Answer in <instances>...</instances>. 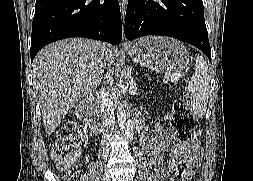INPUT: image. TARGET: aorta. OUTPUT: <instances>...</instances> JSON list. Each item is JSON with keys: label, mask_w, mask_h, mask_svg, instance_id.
<instances>
[{"label": "aorta", "mask_w": 253, "mask_h": 181, "mask_svg": "<svg viewBox=\"0 0 253 181\" xmlns=\"http://www.w3.org/2000/svg\"><path fill=\"white\" fill-rule=\"evenodd\" d=\"M118 113L116 115V118L118 119L117 128H121L122 130L126 128V112L125 107L119 106L118 107Z\"/></svg>", "instance_id": "1"}]
</instances>
